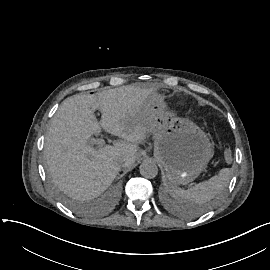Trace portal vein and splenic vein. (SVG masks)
I'll list each match as a JSON object with an SVG mask.
<instances>
[{
  "label": "portal vein and splenic vein",
  "instance_id": "portal-vein-and-splenic-vein-1",
  "mask_svg": "<svg viewBox=\"0 0 270 270\" xmlns=\"http://www.w3.org/2000/svg\"><path fill=\"white\" fill-rule=\"evenodd\" d=\"M102 126L103 127H109V124L108 123H102ZM97 144H96V147L97 148H95V151H102V150H104V147H105V144L103 143L104 142V139L102 138V137H99L98 139H97Z\"/></svg>",
  "mask_w": 270,
  "mask_h": 270
}]
</instances>
